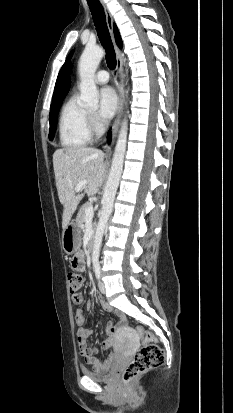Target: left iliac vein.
Masks as SVG:
<instances>
[{"label":"left iliac vein","mask_w":233,"mask_h":413,"mask_svg":"<svg viewBox=\"0 0 233 413\" xmlns=\"http://www.w3.org/2000/svg\"><path fill=\"white\" fill-rule=\"evenodd\" d=\"M98 286H99V290L101 291V293L105 294L106 293V288H105L104 283L101 280H99Z\"/></svg>","instance_id":"4c4485c4"}]
</instances>
